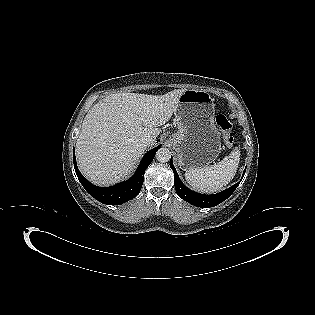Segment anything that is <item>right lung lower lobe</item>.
<instances>
[{
	"instance_id": "obj_1",
	"label": "right lung lower lobe",
	"mask_w": 315,
	"mask_h": 315,
	"mask_svg": "<svg viewBox=\"0 0 315 315\" xmlns=\"http://www.w3.org/2000/svg\"><path fill=\"white\" fill-rule=\"evenodd\" d=\"M161 145L153 148L145 154L139 164L135 174L127 181L118 183L111 187H97L91 184L79 171L76 164L75 154L73 155L74 167L77 177L85 190L98 201L108 205H121L130 199L136 197L142 187L146 168L150 165L157 150Z\"/></svg>"
}]
</instances>
